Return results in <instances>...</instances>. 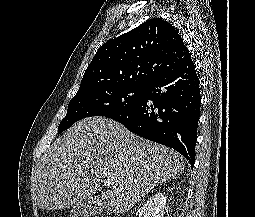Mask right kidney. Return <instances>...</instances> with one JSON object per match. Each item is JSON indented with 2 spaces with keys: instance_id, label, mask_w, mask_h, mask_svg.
<instances>
[{
  "instance_id": "right-kidney-1",
  "label": "right kidney",
  "mask_w": 255,
  "mask_h": 217,
  "mask_svg": "<svg viewBox=\"0 0 255 217\" xmlns=\"http://www.w3.org/2000/svg\"><path fill=\"white\" fill-rule=\"evenodd\" d=\"M166 208V196L164 193L158 192L138 209L139 217H164V209Z\"/></svg>"
}]
</instances>
